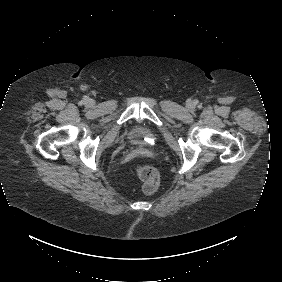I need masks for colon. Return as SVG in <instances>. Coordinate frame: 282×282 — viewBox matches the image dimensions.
Returning a JSON list of instances; mask_svg holds the SVG:
<instances>
[{
  "instance_id": "1",
  "label": "colon",
  "mask_w": 282,
  "mask_h": 282,
  "mask_svg": "<svg viewBox=\"0 0 282 282\" xmlns=\"http://www.w3.org/2000/svg\"><path fill=\"white\" fill-rule=\"evenodd\" d=\"M136 172L143 183V191L148 194L154 193L160 184V176L156 168L139 165L136 168Z\"/></svg>"
}]
</instances>
